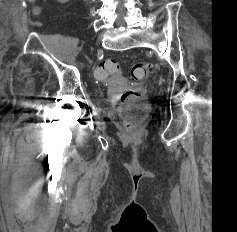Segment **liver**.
I'll use <instances>...</instances> for the list:
<instances>
[{"mask_svg":"<svg viewBox=\"0 0 237 232\" xmlns=\"http://www.w3.org/2000/svg\"><path fill=\"white\" fill-rule=\"evenodd\" d=\"M30 2H33V1H35V0H29Z\"/></svg>","mask_w":237,"mask_h":232,"instance_id":"1","label":"liver"}]
</instances>
